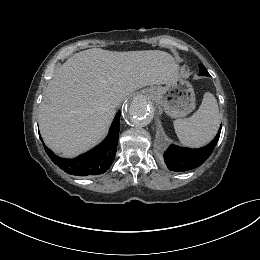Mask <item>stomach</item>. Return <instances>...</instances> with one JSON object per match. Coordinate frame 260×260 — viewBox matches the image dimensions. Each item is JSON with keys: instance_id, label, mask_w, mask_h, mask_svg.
<instances>
[{"instance_id": "0dacf381", "label": "stomach", "mask_w": 260, "mask_h": 260, "mask_svg": "<svg viewBox=\"0 0 260 260\" xmlns=\"http://www.w3.org/2000/svg\"><path fill=\"white\" fill-rule=\"evenodd\" d=\"M148 94L172 118L185 117L192 112L196 105L192 85L180 75L166 83L165 86L149 88Z\"/></svg>"}]
</instances>
